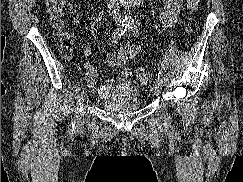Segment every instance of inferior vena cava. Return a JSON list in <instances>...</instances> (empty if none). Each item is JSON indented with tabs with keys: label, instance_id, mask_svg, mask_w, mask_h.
Returning <instances> with one entry per match:
<instances>
[{
	"label": "inferior vena cava",
	"instance_id": "1",
	"mask_svg": "<svg viewBox=\"0 0 243 182\" xmlns=\"http://www.w3.org/2000/svg\"><path fill=\"white\" fill-rule=\"evenodd\" d=\"M119 0H107V6L111 14L119 15L120 14V7H119Z\"/></svg>",
	"mask_w": 243,
	"mask_h": 182
}]
</instances>
